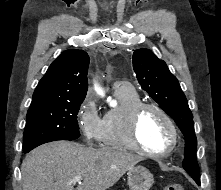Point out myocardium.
Instances as JSON below:
<instances>
[{
    "label": "myocardium",
    "mask_w": 221,
    "mask_h": 190,
    "mask_svg": "<svg viewBox=\"0 0 221 190\" xmlns=\"http://www.w3.org/2000/svg\"><path fill=\"white\" fill-rule=\"evenodd\" d=\"M147 109H152L158 112L164 118V120L167 122L170 128L172 141L170 145L162 151L149 150L146 147H144L139 140L138 136L139 120L142 113ZM126 134L129 144L131 145L134 151L152 157H163L170 154L176 149L179 142L178 129L171 116L159 105L149 102H141L135 105L130 110L127 119Z\"/></svg>",
    "instance_id": "1"
}]
</instances>
